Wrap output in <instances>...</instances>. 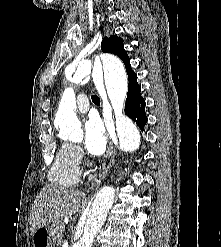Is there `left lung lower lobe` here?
Wrapping results in <instances>:
<instances>
[{
  "label": "left lung lower lobe",
  "mask_w": 221,
  "mask_h": 247,
  "mask_svg": "<svg viewBox=\"0 0 221 247\" xmlns=\"http://www.w3.org/2000/svg\"><path fill=\"white\" fill-rule=\"evenodd\" d=\"M141 87L137 83V76L129 79L128 94L125 103V114L129 116L143 131L147 123L145 114V100L141 97Z\"/></svg>",
  "instance_id": "obj_1"
}]
</instances>
